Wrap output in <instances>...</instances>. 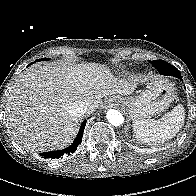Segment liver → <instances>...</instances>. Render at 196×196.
Instances as JSON below:
<instances>
[{
	"label": "liver",
	"mask_w": 196,
	"mask_h": 196,
	"mask_svg": "<svg viewBox=\"0 0 196 196\" xmlns=\"http://www.w3.org/2000/svg\"><path fill=\"white\" fill-rule=\"evenodd\" d=\"M132 80L97 63L28 68L15 80L7 98V131L25 150L65 148L72 143L79 122L69 113L70 105L83 101L90 114L102 105L104 97L132 94L136 86Z\"/></svg>",
	"instance_id": "6515ba94"
}]
</instances>
